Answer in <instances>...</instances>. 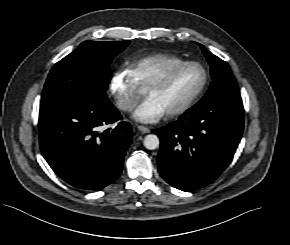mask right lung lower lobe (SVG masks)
Returning a JSON list of instances; mask_svg holds the SVG:
<instances>
[{"label":"right lung lower lobe","instance_id":"1","mask_svg":"<svg viewBox=\"0 0 290 245\" xmlns=\"http://www.w3.org/2000/svg\"><path fill=\"white\" fill-rule=\"evenodd\" d=\"M110 101L85 99L40 109L39 140L53 171L70 185L99 190L121 174L132 129ZM115 128L100 127L117 122Z\"/></svg>","mask_w":290,"mask_h":245}]
</instances>
